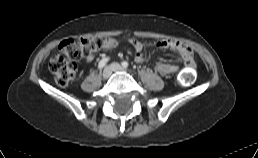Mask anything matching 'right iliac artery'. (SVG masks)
I'll use <instances>...</instances> for the list:
<instances>
[{"instance_id":"obj_1","label":"right iliac artery","mask_w":258,"mask_h":158,"mask_svg":"<svg viewBox=\"0 0 258 158\" xmlns=\"http://www.w3.org/2000/svg\"><path fill=\"white\" fill-rule=\"evenodd\" d=\"M109 58H104L102 59L99 64H98V69L102 70L103 67L106 65V63L108 62Z\"/></svg>"}]
</instances>
